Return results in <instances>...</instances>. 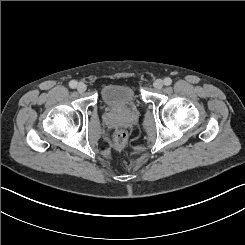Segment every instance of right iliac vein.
Instances as JSON below:
<instances>
[{
    "label": "right iliac vein",
    "mask_w": 245,
    "mask_h": 245,
    "mask_svg": "<svg viewBox=\"0 0 245 245\" xmlns=\"http://www.w3.org/2000/svg\"><path fill=\"white\" fill-rule=\"evenodd\" d=\"M77 91L83 93L86 91L87 86L84 83H79L77 86Z\"/></svg>",
    "instance_id": "right-iliac-vein-1"
}]
</instances>
